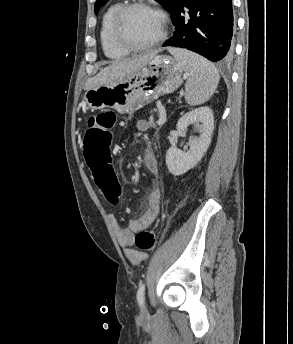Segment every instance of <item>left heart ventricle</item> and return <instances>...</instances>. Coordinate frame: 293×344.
I'll return each mask as SVG.
<instances>
[{"label":"left heart ventricle","instance_id":"obj_1","mask_svg":"<svg viewBox=\"0 0 293 344\" xmlns=\"http://www.w3.org/2000/svg\"><path fill=\"white\" fill-rule=\"evenodd\" d=\"M123 32L129 41L143 44L152 41L161 32L158 16L144 9L130 11L123 23Z\"/></svg>","mask_w":293,"mask_h":344}]
</instances>
